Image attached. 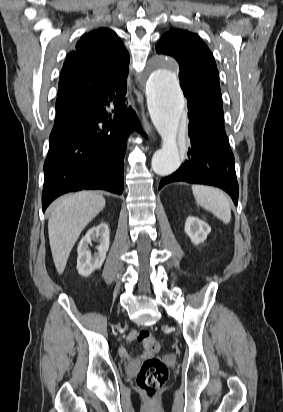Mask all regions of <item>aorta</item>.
Masks as SVG:
<instances>
[{"instance_id":"aorta-1","label":"aorta","mask_w":283,"mask_h":412,"mask_svg":"<svg viewBox=\"0 0 283 412\" xmlns=\"http://www.w3.org/2000/svg\"><path fill=\"white\" fill-rule=\"evenodd\" d=\"M147 106L151 120L162 137V147L152 157V169L160 176L175 172L181 164L178 142L184 97L176 72L169 60L156 62L146 82Z\"/></svg>"}]
</instances>
